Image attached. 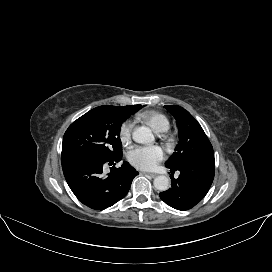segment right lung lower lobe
<instances>
[{
  "label": "right lung lower lobe",
  "instance_id": "1",
  "mask_svg": "<svg viewBox=\"0 0 272 272\" xmlns=\"http://www.w3.org/2000/svg\"><path fill=\"white\" fill-rule=\"evenodd\" d=\"M115 159H102L86 152H63L62 169L65 179L84 205L97 210H104L126 196L133 181L139 173L126 161L121 167H111L108 176L103 174L105 163L119 162Z\"/></svg>",
  "mask_w": 272,
  "mask_h": 272
}]
</instances>
